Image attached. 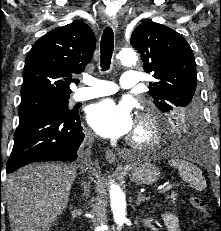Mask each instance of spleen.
Wrapping results in <instances>:
<instances>
[{
    "mask_svg": "<svg viewBox=\"0 0 221 231\" xmlns=\"http://www.w3.org/2000/svg\"><path fill=\"white\" fill-rule=\"evenodd\" d=\"M168 164L176 168L180 177L197 191L206 188V181L202 176L201 170L191 162L182 159H172Z\"/></svg>",
    "mask_w": 221,
    "mask_h": 231,
    "instance_id": "1",
    "label": "spleen"
}]
</instances>
